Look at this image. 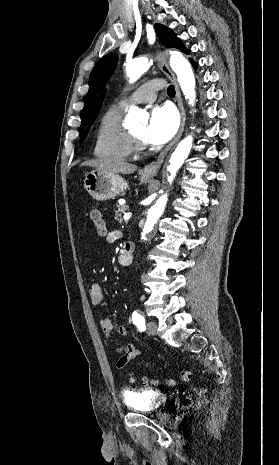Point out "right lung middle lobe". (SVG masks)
Instances as JSON below:
<instances>
[{
	"mask_svg": "<svg viewBox=\"0 0 279 465\" xmlns=\"http://www.w3.org/2000/svg\"><path fill=\"white\" fill-rule=\"evenodd\" d=\"M87 134L83 135L82 138L80 139V141H83L85 139Z\"/></svg>",
	"mask_w": 279,
	"mask_h": 465,
	"instance_id": "dd1d6c3e",
	"label": "right lung middle lobe"
}]
</instances>
